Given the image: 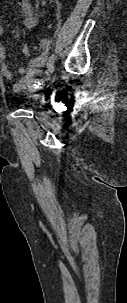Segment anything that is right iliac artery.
<instances>
[{"label":"right iliac artery","instance_id":"1","mask_svg":"<svg viewBox=\"0 0 127 303\" xmlns=\"http://www.w3.org/2000/svg\"><path fill=\"white\" fill-rule=\"evenodd\" d=\"M55 61V56L54 55H51L47 61V66H51Z\"/></svg>","mask_w":127,"mask_h":303}]
</instances>
